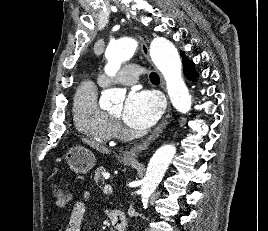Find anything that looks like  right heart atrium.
Wrapping results in <instances>:
<instances>
[{"label": "right heart atrium", "instance_id": "right-heart-atrium-1", "mask_svg": "<svg viewBox=\"0 0 268 231\" xmlns=\"http://www.w3.org/2000/svg\"><path fill=\"white\" fill-rule=\"evenodd\" d=\"M120 128H121L120 125L118 123H115V134L118 133Z\"/></svg>", "mask_w": 268, "mask_h": 231}]
</instances>
